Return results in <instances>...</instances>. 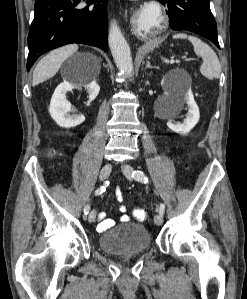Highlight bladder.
I'll return each instance as SVG.
<instances>
[{"instance_id":"31cf9c89","label":"bladder","mask_w":247,"mask_h":299,"mask_svg":"<svg viewBox=\"0 0 247 299\" xmlns=\"http://www.w3.org/2000/svg\"><path fill=\"white\" fill-rule=\"evenodd\" d=\"M152 238L142 224L126 222L102 232L98 238L99 247L114 255H130L147 251Z\"/></svg>"}]
</instances>
